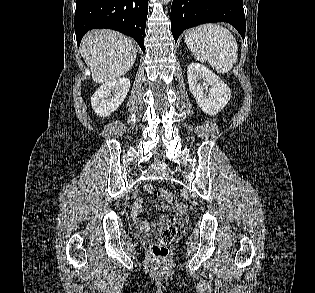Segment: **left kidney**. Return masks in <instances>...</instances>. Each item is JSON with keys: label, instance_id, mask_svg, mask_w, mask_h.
Listing matches in <instances>:
<instances>
[{"label": "left kidney", "instance_id": "obj_1", "mask_svg": "<svg viewBox=\"0 0 315 293\" xmlns=\"http://www.w3.org/2000/svg\"><path fill=\"white\" fill-rule=\"evenodd\" d=\"M187 77L189 90L203 112L216 115L227 105L231 97L230 88L207 67L191 63ZM201 78L203 84L198 83Z\"/></svg>", "mask_w": 315, "mask_h": 293}]
</instances>
